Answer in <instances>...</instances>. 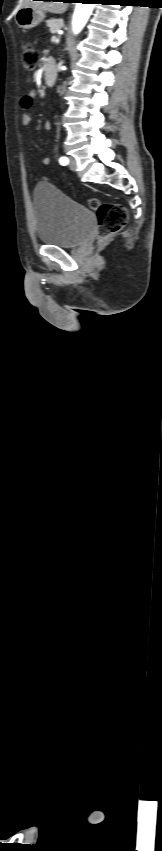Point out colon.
I'll use <instances>...</instances> for the list:
<instances>
[{"instance_id":"colon-1","label":"colon","mask_w":162,"mask_h":851,"mask_svg":"<svg viewBox=\"0 0 162 851\" xmlns=\"http://www.w3.org/2000/svg\"><path fill=\"white\" fill-rule=\"evenodd\" d=\"M38 63V53L30 44L22 48V65L25 71L32 72ZM89 206L97 212L98 238L103 241L119 232L128 221L126 208L119 203H101L97 198H91Z\"/></svg>"}]
</instances>
